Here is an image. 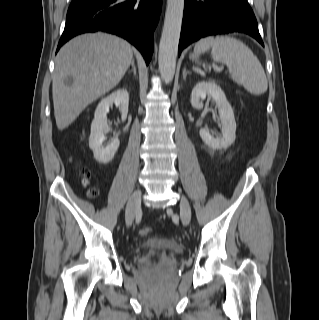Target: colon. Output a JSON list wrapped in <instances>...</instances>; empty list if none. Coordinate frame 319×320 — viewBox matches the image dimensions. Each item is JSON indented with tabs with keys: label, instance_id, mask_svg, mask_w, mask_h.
<instances>
[{
	"label": "colon",
	"instance_id": "colon-1",
	"mask_svg": "<svg viewBox=\"0 0 319 320\" xmlns=\"http://www.w3.org/2000/svg\"><path fill=\"white\" fill-rule=\"evenodd\" d=\"M81 175H82L83 179L86 181L90 176V172L87 169H83L81 172ZM98 194H99V192L97 189H91L89 191V195L91 197H96V196H98ZM151 232H152L151 228L145 227V228L140 229L139 234L141 236H148ZM155 261H157V258H155Z\"/></svg>",
	"mask_w": 319,
	"mask_h": 320
}]
</instances>
